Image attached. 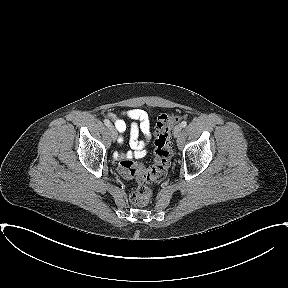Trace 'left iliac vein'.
<instances>
[{"instance_id": "left-iliac-vein-1", "label": "left iliac vein", "mask_w": 288, "mask_h": 288, "mask_svg": "<svg viewBox=\"0 0 288 288\" xmlns=\"http://www.w3.org/2000/svg\"><path fill=\"white\" fill-rule=\"evenodd\" d=\"M181 131H182V126L181 125L175 126L174 132H173L174 137H176V138L179 137L180 134H181Z\"/></svg>"}]
</instances>
